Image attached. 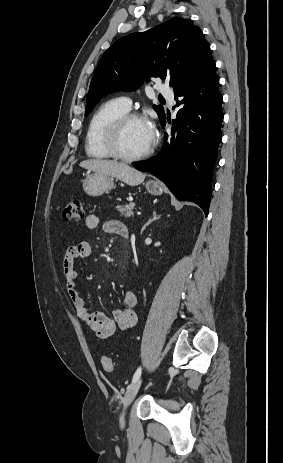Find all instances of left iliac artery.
Returning <instances> with one entry per match:
<instances>
[{
  "mask_svg": "<svg viewBox=\"0 0 283 463\" xmlns=\"http://www.w3.org/2000/svg\"><path fill=\"white\" fill-rule=\"evenodd\" d=\"M140 375H141V367H139V368L136 370V372H135V374H134V376H133L132 382L137 381V380L140 378Z\"/></svg>",
  "mask_w": 283,
  "mask_h": 463,
  "instance_id": "left-iliac-artery-1",
  "label": "left iliac artery"
}]
</instances>
